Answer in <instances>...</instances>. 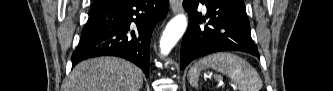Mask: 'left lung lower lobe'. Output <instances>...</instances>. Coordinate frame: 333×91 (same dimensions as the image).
Here are the masks:
<instances>
[{"label":"left lung lower lobe","mask_w":333,"mask_h":91,"mask_svg":"<svg viewBox=\"0 0 333 91\" xmlns=\"http://www.w3.org/2000/svg\"><path fill=\"white\" fill-rule=\"evenodd\" d=\"M207 7L206 16L197 12L198 4ZM190 16L181 46V68L204 55L219 51H242L259 57L251 38L243 0H184ZM208 19V23L202 22Z\"/></svg>","instance_id":"0a47b994"}]
</instances>
